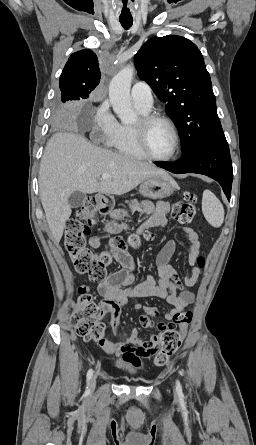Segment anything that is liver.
<instances>
[{
	"instance_id": "1",
	"label": "liver",
	"mask_w": 256,
	"mask_h": 445,
	"mask_svg": "<svg viewBox=\"0 0 256 445\" xmlns=\"http://www.w3.org/2000/svg\"><path fill=\"white\" fill-rule=\"evenodd\" d=\"M111 175L100 179L102 174ZM168 176L150 164L99 148L74 132L55 133L47 142L39 170V193L55 243L71 216L75 191L123 195L153 176Z\"/></svg>"
}]
</instances>
